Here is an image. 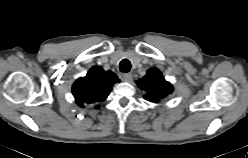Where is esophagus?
Returning <instances> with one entry per match:
<instances>
[{
  "instance_id": "esophagus-1",
  "label": "esophagus",
  "mask_w": 248,
  "mask_h": 158,
  "mask_svg": "<svg viewBox=\"0 0 248 158\" xmlns=\"http://www.w3.org/2000/svg\"><path fill=\"white\" fill-rule=\"evenodd\" d=\"M122 78L124 81L130 82L132 80V74L131 73H124L122 75Z\"/></svg>"
}]
</instances>
